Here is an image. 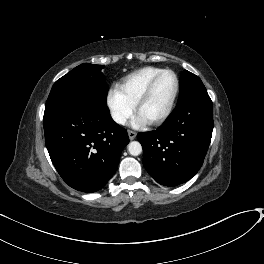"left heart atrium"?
Here are the masks:
<instances>
[{"label": "left heart atrium", "instance_id": "obj_1", "mask_svg": "<svg viewBox=\"0 0 264 264\" xmlns=\"http://www.w3.org/2000/svg\"><path fill=\"white\" fill-rule=\"evenodd\" d=\"M147 121L140 115V114H137L134 119L132 120V125L134 127H138L142 124H145Z\"/></svg>", "mask_w": 264, "mask_h": 264}]
</instances>
